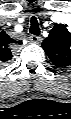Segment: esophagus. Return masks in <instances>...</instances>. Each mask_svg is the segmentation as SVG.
<instances>
[{
  "mask_svg": "<svg viewBox=\"0 0 71 119\" xmlns=\"http://www.w3.org/2000/svg\"><path fill=\"white\" fill-rule=\"evenodd\" d=\"M30 41L34 43H40L42 41V37L36 36V35H31L30 36Z\"/></svg>",
  "mask_w": 71,
  "mask_h": 119,
  "instance_id": "esophagus-1",
  "label": "esophagus"
}]
</instances>
